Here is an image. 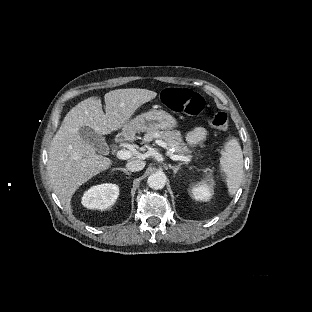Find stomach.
<instances>
[{
	"label": "stomach",
	"instance_id": "stomach-1",
	"mask_svg": "<svg viewBox=\"0 0 312 312\" xmlns=\"http://www.w3.org/2000/svg\"><path fill=\"white\" fill-rule=\"evenodd\" d=\"M177 126L176 119L163 110H150L126 122L121 135L133 138L137 132H147L153 129H173Z\"/></svg>",
	"mask_w": 312,
	"mask_h": 312
}]
</instances>
